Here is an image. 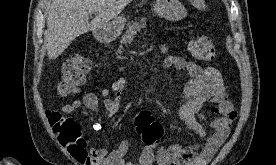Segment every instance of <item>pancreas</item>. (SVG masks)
I'll return each mask as SVG.
<instances>
[{"label":"pancreas","instance_id":"pancreas-1","mask_svg":"<svg viewBox=\"0 0 276 165\" xmlns=\"http://www.w3.org/2000/svg\"><path fill=\"white\" fill-rule=\"evenodd\" d=\"M146 26L147 24H146L145 17H142L140 20H135L128 23L127 30L125 34L122 36V39L120 40V44L125 46H127L128 44H131L137 32H140L141 29L146 28ZM119 52L121 53V51Z\"/></svg>","mask_w":276,"mask_h":165}]
</instances>
